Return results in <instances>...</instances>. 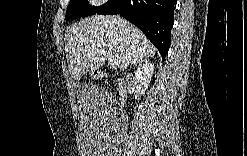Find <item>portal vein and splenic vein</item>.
Here are the masks:
<instances>
[{
  "instance_id": "obj_1",
  "label": "portal vein and splenic vein",
  "mask_w": 247,
  "mask_h": 156,
  "mask_svg": "<svg viewBox=\"0 0 247 156\" xmlns=\"http://www.w3.org/2000/svg\"><path fill=\"white\" fill-rule=\"evenodd\" d=\"M108 60H109V64H110L111 67H116L117 66V62L114 59L109 58Z\"/></svg>"
}]
</instances>
